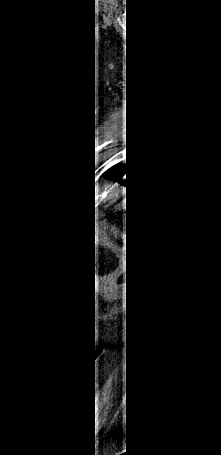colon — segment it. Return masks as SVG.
<instances>
[{"mask_svg": "<svg viewBox=\"0 0 221 455\" xmlns=\"http://www.w3.org/2000/svg\"><path fill=\"white\" fill-rule=\"evenodd\" d=\"M95 254L96 256L98 257H102L103 254H104V249H103V246L101 244H99L96 249H95Z\"/></svg>", "mask_w": 221, "mask_h": 455, "instance_id": "1", "label": "colon"}]
</instances>
